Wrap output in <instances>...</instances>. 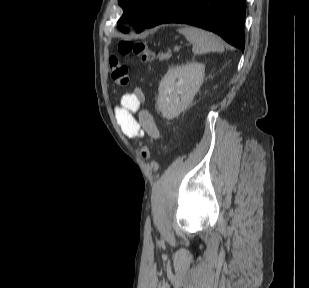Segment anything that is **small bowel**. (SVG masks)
<instances>
[{
  "mask_svg": "<svg viewBox=\"0 0 309 288\" xmlns=\"http://www.w3.org/2000/svg\"><path fill=\"white\" fill-rule=\"evenodd\" d=\"M143 99L141 92L125 93L120 100V106L115 108L117 122L123 134L129 138L142 137L145 134L152 138L159 137V130L153 116L140 110ZM137 114V117L134 116Z\"/></svg>",
  "mask_w": 309,
  "mask_h": 288,
  "instance_id": "1",
  "label": "small bowel"
}]
</instances>
